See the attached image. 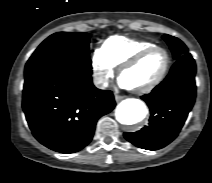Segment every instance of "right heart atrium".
<instances>
[{
	"label": "right heart atrium",
	"instance_id": "obj_1",
	"mask_svg": "<svg viewBox=\"0 0 212 183\" xmlns=\"http://www.w3.org/2000/svg\"><path fill=\"white\" fill-rule=\"evenodd\" d=\"M91 66L95 83L100 87H106L114 75L115 66L111 63L102 47L94 51Z\"/></svg>",
	"mask_w": 212,
	"mask_h": 183
}]
</instances>
